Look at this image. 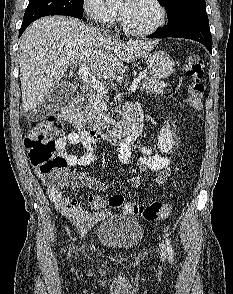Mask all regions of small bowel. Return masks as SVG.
I'll return each mask as SVG.
<instances>
[{
  "label": "small bowel",
  "mask_w": 233,
  "mask_h": 294,
  "mask_svg": "<svg viewBox=\"0 0 233 294\" xmlns=\"http://www.w3.org/2000/svg\"><path fill=\"white\" fill-rule=\"evenodd\" d=\"M81 144L84 148L83 154L76 156L68 152V145ZM56 145L59 154L66 158L68 166H88L94 161V147L91 139L85 131H73L65 136L56 139ZM141 156L137 162L139 165L138 171L130 178L129 184L137 188L140 185V174L147 171L157 172L154 177L156 183L164 184L168 181L171 168V159L168 156L154 154L149 147L140 148ZM120 162L127 164L131 161V143L121 144L118 154ZM78 184L94 189L97 191H105L107 185L95 178H92L84 173H76L74 175ZM43 182L48 187V193L51 200L63 212V214L82 232L92 228L99 221L108 216L109 210L104 204L102 197L98 195H91L89 197V204L91 207L97 209L96 212L86 210L83 205L76 199L66 197L62 190L54 188L47 177L41 176Z\"/></svg>",
  "instance_id": "1"
}]
</instances>
